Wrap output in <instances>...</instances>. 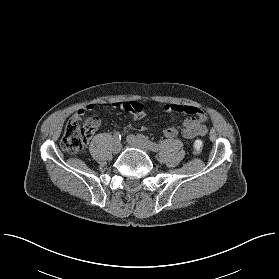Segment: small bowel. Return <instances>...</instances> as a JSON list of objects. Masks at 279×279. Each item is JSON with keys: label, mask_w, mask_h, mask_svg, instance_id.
<instances>
[{"label": "small bowel", "mask_w": 279, "mask_h": 279, "mask_svg": "<svg viewBox=\"0 0 279 279\" xmlns=\"http://www.w3.org/2000/svg\"><path fill=\"white\" fill-rule=\"evenodd\" d=\"M112 107L116 109H124L125 103L122 102H114L111 104ZM93 109L92 104H88L86 106L80 107L77 112L74 113L73 118L81 119L82 116L88 111ZM162 109L167 113H175L183 111L186 114H189L190 117L186 118L182 124L181 134L186 139H192L197 136H204L207 133V126L205 122L207 121L206 113L192 106H180V105H162ZM143 117V111L139 114L135 115L134 119H139ZM131 129H138L136 127H130ZM179 131L177 128L173 126H169L164 129V135L168 138H174L178 135Z\"/></svg>", "instance_id": "small-bowel-1"}]
</instances>
